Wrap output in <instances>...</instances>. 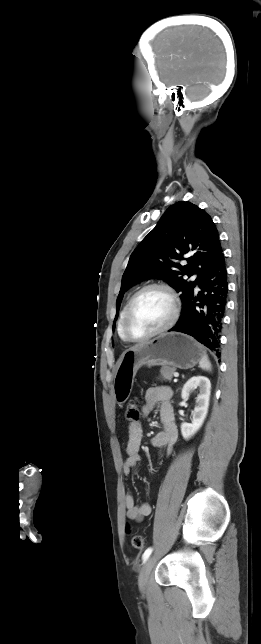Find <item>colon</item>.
Wrapping results in <instances>:
<instances>
[{"label":"colon","mask_w":261,"mask_h":644,"mask_svg":"<svg viewBox=\"0 0 261 644\" xmlns=\"http://www.w3.org/2000/svg\"><path fill=\"white\" fill-rule=\"evenodd\" d=\"M141 413L139 405L136 401L128 402L125 411L126 420L130 423L138 422ZM127 532L130 533V528L127 527ZM131 544L136 549H142L145 546V538L140 534H133L131 537Z\"/></svg>","instance_id":"1"}]
</instances>
